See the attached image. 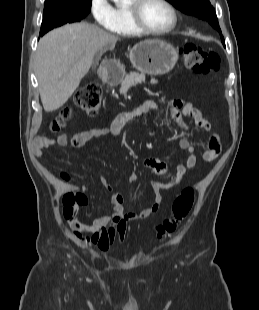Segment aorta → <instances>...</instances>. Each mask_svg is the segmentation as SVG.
Masks as SVG:
<instances>
[{
	"label": "aorta",
	"mask_w": 259,
	"mask_h": 310,
	"mask_svg": "<svg viewBox=\"0 0 259 310\" xmlns=\"http://www.w3.org/2000/svg\"><path fill=\"white\" fill-rule=\"evenodd\" d=\"M115 3H119L121 2L122 0H113Z\"/></svg>",
	"instance_id": "1"
}]
</instances>
